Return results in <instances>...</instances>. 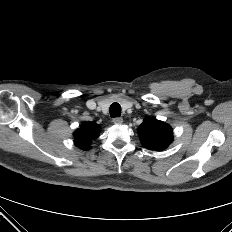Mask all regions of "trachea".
Segmentation results:
<instances>
[{
    "label": "trachea",
    "instance_id": "1",
    "mask_svg": "<svg viewBox=\"0 0 232 232\" xmlns=\"http://www.w3.org/2000/svg\"><path fill=\"white\" fill-rule=\"evenodd\" d=\"M121 115V106L118 103H113L110 106V116L119 117Z\"/></svg>",
    "mask_w": 232,
    "mask_h": 232
}]
</instances>
